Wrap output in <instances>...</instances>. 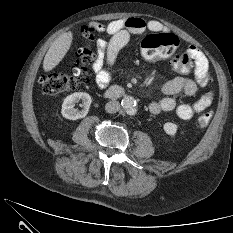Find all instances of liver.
<instances>
[{"label":"liver","instance_id":"liver-1","mask_svg":"<svg viewBox=\"0 0 233 233\" xmlns=\"http://www.w3.org/2000/svg\"><path fill=\"white\" fill-rule=\"evenodd\" d=\"M72 39V32L69 31L59 36L52 43L43 60L45 72L51 71L62 61L71 47Z\"/></svg>","mask_w":233,"mask_h":233}]
</instances>
